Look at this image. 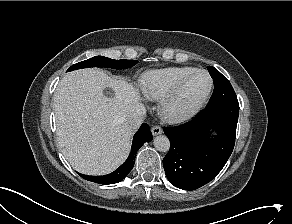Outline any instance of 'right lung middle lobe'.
Returning <instances> with one entry per match:
<instances>
[{
	"mask_svg": "<svg viewBox=\"0 0 292 224\" xmlns=\"http://www.w3.org/2000/svg\"><path fill=\"white\" fill-rule=\"evenodd\" d=\"M137 60H114L104 56H95L88 60L72 65L67 71L88 67H108L113 69H126L137 64Z\"/></svg>",
	"mask_w": 292,
	"mask_h": 224,
	"instance_id": "1",
	"label": "right lung middle lobe"
}]
</instances>
